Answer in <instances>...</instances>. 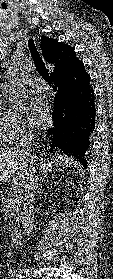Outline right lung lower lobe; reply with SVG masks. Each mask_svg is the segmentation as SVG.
I'll list each match as a JSON object with an SVG mask.
<instances>
[{
  "label": "right lung lower lobe",
  "mask_w": 113,
  "mask_h": 279,
  "mask_svg": "<svg viewBox=\"0 0 113 279\" xmlns=\"http://www.w3.org/2000/svg\"><path fill=\"white\" fill-rule=\"evenodd\" d=\"M56 97L52 114L53 127L48 130L53 150L74 155L86 165L85 152L95 127L94 91L83 63L73 72L52 79Z\"/></svg>",
  "instance_id": "right-lung-lower-lobe-1"
}]
</instances>
